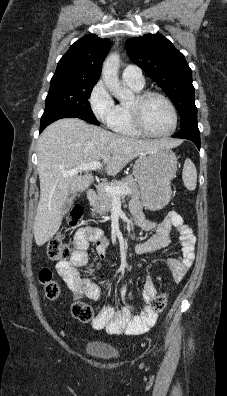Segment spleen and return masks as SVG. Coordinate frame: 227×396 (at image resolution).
I'll use <instances>...</instances> for the list:
<instances>
[{"label": "spleen", "mask_w": 227, "mask_h": 396, "mask_svg": "<svg viewBox=\"0 0 227 396\" xmlns=\"http://www.w3.org/2000/svg\"><path fill=\"white\" fill-rule=\"evenodd\" d=\"M182 179L185 187L193 191L197 185V170L194 163L190 159H186L182 172Z\"/></svg>", "instance_id": "3e777b00"}]
</instances>
